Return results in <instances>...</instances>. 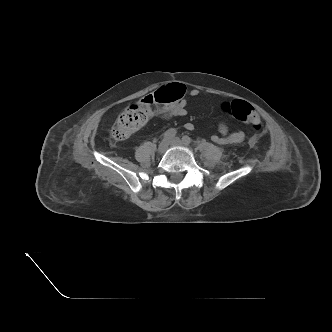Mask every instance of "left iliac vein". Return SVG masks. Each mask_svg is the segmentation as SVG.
<instances>
[{"label": "left iliac vein", "mask_w": 332, "mask_h": 332, "mask_svg": "<svg viewBox=\"0 0 332 332\" xmlns=\"http://www.w3.org/2000/svg\"><path fill=\"white\" fill-rule=\"evenodd\" d=\"M170 144L172 146H181V147H184V146H187L183 141H181L179 138H174L170 141Z\"/></svg>", "instance_id": "obj_1"}]
</instances>
